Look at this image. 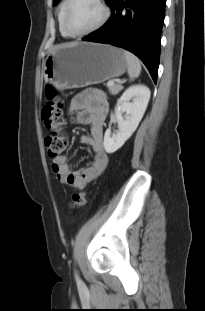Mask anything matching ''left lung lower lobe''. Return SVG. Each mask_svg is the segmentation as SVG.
I'll return each instance as SVG.
<instances>
[{"mask_svg":"<svg viewBox=\"0 0 205 311\" xmlns=\"http://www.w3.org/2000/svg\"><path fill=\"white\" fill-rule=\"evenodd\" d=\"M166 0H114L111 18L83 40L124 48L141 59L157 81Z\"/></svg>","mask_w":205,"mask_h":311,"instance_id":"1","label":"left lung lower lobe"}]
</instances>
